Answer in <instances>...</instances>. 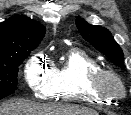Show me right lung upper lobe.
Masks as SVG:
<instances>
[{"label":"right lung upper lobe","instance_id":"cb5924a9","mask_svg":"<svg viewBox=\"0 0 131 115\" xmlns=\"http://www.w3.org/2000/svg\"><path fill=\"white\" fill-rule=\"evenodd\" d=\"M45 35V28L24 15L0 23V63L20 51L34 49Z\"/></svg>","mask_w":131,"mask_h":115}]
</instances>
